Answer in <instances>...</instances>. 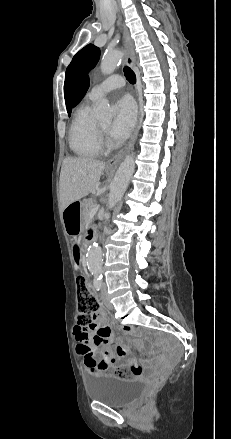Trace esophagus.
<instances>
[{"mask_svg": "<svg viewBox=\"0 0 231 439\" xmlns=\"http://www.w3.org/2000/svg\"><path fill=\"white\" fill-rule=\"evenodd\" d=\"M122 32H123V43H124V48H125V63L133 68L135 66V53H134V44L133 41L130 37V33L127 29V27L125 26L124 23H122ZM140 79L139 77L137 78V85H136V90H137V100H138V115H137V122H136V126L134 129V132L131 136L130 141L128 142V144L120 151L118 152L115 156H113L112 158H110L107 163H106V167L109 169H116L119 165V163L121 162V160L123 159V157L130 151L132 150L138 132H139V128H140V121H141V90H140Z\"/></svg>", "mask_w": 231, "mask_h": 439, "instance_id": "esophagus-1", "label": "esophagus"}]
</instances>
